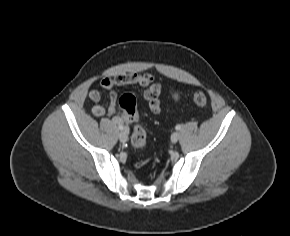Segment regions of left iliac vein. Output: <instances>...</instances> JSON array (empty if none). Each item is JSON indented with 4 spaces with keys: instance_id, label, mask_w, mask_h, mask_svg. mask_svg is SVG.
Here are the masks:
<instances>
[{
    "instance_id": "obj_1",
    "label": "left iliac vein",
    "mask_w": 290,
    "mask_h": 236,
    "mask_svg": "<svg viewBox=\"0 0 290 236\" xmlns=\"http://www.w3.org/2000/svg\"><path fill=\"white\" fill-rule=\"evenodd\" d=\"M179 133L178 132H174L172 135H171V142L172 143H176L178 140H179Z\"/></svg>"
}]
</instances>
